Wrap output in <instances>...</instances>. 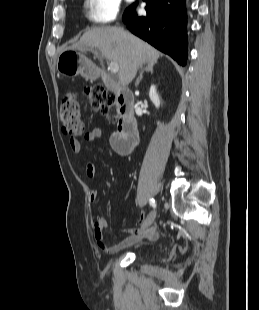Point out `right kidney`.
<instances>
[{
  "instance_id": "right-kidney-1",
  "label": "right kidney",
  "mask_w": 259,
  "mask_h": 310,
  "mask_svg": "<svg viewBox=\"0 0 259 310\" xmlns=\"http://www.w3.org/2000/svg\"><path fill=\"white\" fill-rule=\"evenodd\" d=\"M149 97H150L152 103L155 105V107L159 108V106H160V99H159V96L157 94L156 87L154 85H152L150 87Z\"/></svg>"
}]
</instances>
